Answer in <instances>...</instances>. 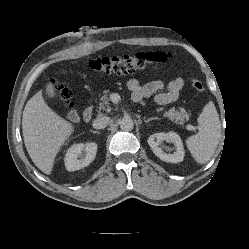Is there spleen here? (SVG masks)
I'll return each mask as SVG.
<instances>
[{
	"label": "spleen",
	"instance_id": "spleen-1",
	"mask_svg": "<svg viewBox=\"0 0 249 249\" xmlns=\"http://www.w3.org/2000/svg\"><path fill=\"white\" fill-rule=\"evenodd\" d=\"M199 132L186 140L187 147L196 162H208L218 146L221 137L219 115L212 101L208 102L198 117Z\"/></svg>",
	"mask_w": 249,
	"mask_h": 249
}]
</instances>
